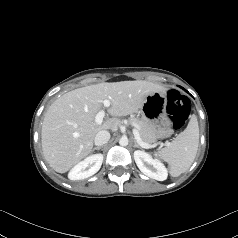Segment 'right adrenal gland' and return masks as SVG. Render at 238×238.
Instances as JSON below:
<instances>
[{
    "instance_id": "obj_1",
    "label": "right adrenal gland",
    "mask_w": 238,
    "mask_h": 238,
    "mask_svg": "<svg viewBox=\"0 0 238 238\" xmlns=\"http://www.w3.org/2000/svg\"><path fill=\"white\" fill-rule=\"evenodd\" d=\"M102 147H94L92 151L100 150Z\"/></svg>"
}]
</instances>
